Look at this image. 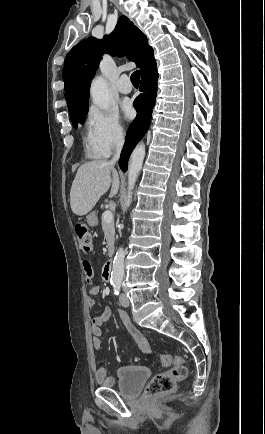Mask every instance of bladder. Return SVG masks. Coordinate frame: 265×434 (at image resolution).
I'll list each match as a JSON object with an SVG mask.
<instances>
[{"label": "bladder", "instance_id": "1", "mask_svg": "<svg viewBox=\"0 0 265 434\" xmlns=\"http://www.w3.org/2000/svg\"><path fill=\"white\" fill-rule=\"evenodd\" d=\"M151 371L141 365H124L117 369L118 393L124 398H135L139 395Z\"/></svg>", "mask_w": 265, "mask_h": 434}]
</instances>
